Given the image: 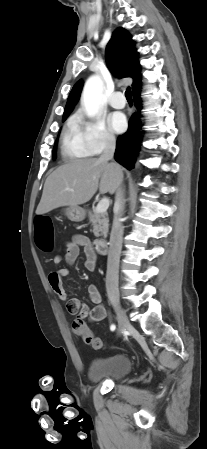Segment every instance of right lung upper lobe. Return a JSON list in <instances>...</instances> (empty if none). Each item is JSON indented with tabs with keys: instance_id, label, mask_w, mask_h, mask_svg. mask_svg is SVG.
I'll use <instances>...</instances> for the list:
<instances>
[{
	"instance_id": "right-lung-upper-lobe-1",
	"label": "right lung upper lobe",
	"mask_w": 207,
	"mask_h": 449,
	"mask_svg": "<svg viewBox=\"0 0 207 449\" xmlns=\"http://www.w3.org/2000/svg\"><path fill=\"white\" fill-rule=\"evenodd\" d=\"M135 50V43L130 34L124 28H117L106 47V62L113 74L118 77H131L133 79V92L140 88V67ZM83 82L79 80L73 86L63 118H67L77 103L82 90ZM62 118V119H63Z\"/></svg>"
}]
</instances>
